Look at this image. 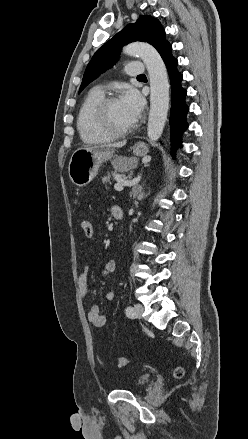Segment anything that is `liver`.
Segmentation results:
<instances>
[{
	"label": "liver",
	"mask_w": 248,
	"mask_h": 439,
	"mask_svg": "<svg viewBox=\"0 0 248 439\" xmlns=\"http://www.w3.org/2000/svg\"><path fill=\"white\" fill-rule=\"evenodd\" d=\"M125 144H126V141H121V142H117V143H109V144L103 145L101 147L120 148V147H123ZM91 148H96V147H87L85 149H91Z\"/></svg>",
	"instance_id": "1"
}]
</instances>
